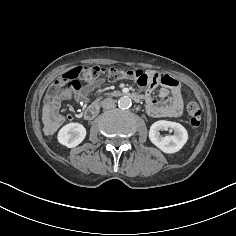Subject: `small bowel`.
I'll list each match as a JSON object with an SVG mask.
<instances>
[{
    "instance_id": "obj_1",
    "label": "small bowel",
    "mask_w": 236,
    "mask_h": 236,
    "mask_svg": "<svg viewBox=\"0 0 236 236\" xmlns=\"http://www.w3.org/2000/svg\"><path fill=\"white\" fill-rule=\"evenodd\" d=\"M143 72V71H139ZM148 84L140 85L138 79L137 83L142 87H147L146 94L140 95L146 100V108L148 113L157 118H177L181 116L184 107V100L181 95L179 83L172 77L158 73L148 72ZM174 79L175 85L169 86L168 80ZM101 83V80H96L92 84H88L79 90L65 91L62 99L73 98L78 104L84 105L88 101L90 92ZM160 84L159 97L161 101L154 99L150 93ZM139 95V94H138ZM61 101V100H60ZM60 101L47 99L43 107V124L44 132L48 136L54 135L61 125L66 121L72 119L70 115L63 116L60 113Z\"/></svg>"
}]
</instances>
